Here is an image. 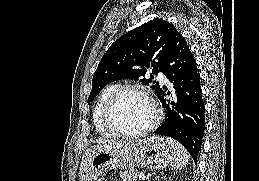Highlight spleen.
<instances>
[{
	"instance_id": "spleen-1",
	"label": "spleen",
	"mask_w": 259,
	"mask_h": 181,
	"mask_svg": "<svg viewBox=\"0 0 259 181\" xmlns=\"http://www.w3.org/2000/svg\"><path fill=\"white\" fill-rule=\"evenodd\" d=\"M166 141L168 142L169 146L171 147L172 153H173V158L170 163L172 169L181 170L189 162L190 156H189L187 150L182 146V144H180L179 142H177L176 140H174L172 138L167 137Z\"/></svg>"
}]
</instances>
